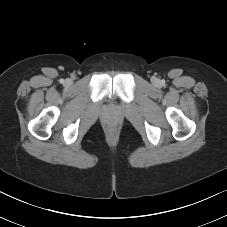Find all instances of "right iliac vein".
<instances>
[{
  "label": "right iliac vein",
  "instance_id": "obj_1",
  "mask_svg": "<svg viewBox=\"0 0 227 227\" xmlns=\"http://www.w3.org/2000/svg\"><path fill=\"white\" fill-rule=\"evenodd\" d=\"M71 83H72V81H71L70 79H67V80L65 81V84H66V85H71Z\"/></svg>",
  "mask_w": 227,
  "mask_h": 227
}]
</instances>
